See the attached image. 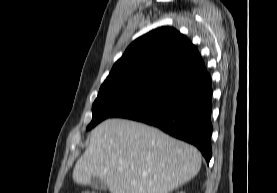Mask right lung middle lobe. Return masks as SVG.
Wrapping results in <instances>:
<instances>
[{
	"label": "right lung middle lobe",
	"instance_id": "right-lung-middle-lobe-1",
	"mask_svg": "<svg viewBox=\"0 0 277 193\" xmlns=\"http://www.w3.org/2000/svg\"><path fill=\"white\" fill-rule=\"evenodd\" d=\"M151 90L127 87L100 89L92 106V121L86 130L92 129L101 121L114 117L119 112L134 105L147 95Z\"/></svg>",
	"mask_w": 277,
	"mask_h": 193
}]
</instances>
